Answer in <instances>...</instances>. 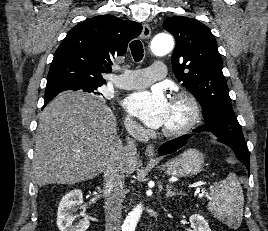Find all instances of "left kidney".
I'll return each instance as SVG.
<instances>
[{
  "label": "left kidney",
  "instance_id": "1",
  "mask_svg": "<svg viewBox=\"0 0 268 231\" xmlns=\"http://www.w3.org/2000/svg\"><path fill=\"white\" fill-rule=\"evenodd\" d=\"M192 231H212L208 222L200 214H193L189 218Z\"/></svg>",
  "mask_w": 268,
  "mask_h": 231
}]
</instances>
